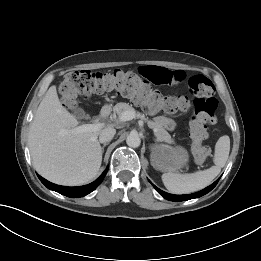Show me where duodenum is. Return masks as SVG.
Wrapping results in <instances>:
<instances>
[{
    "mask_svg": "<svg viewBox=\"0 0 261 261\" xmlns=\"http://www.w3.org/2000/svg\"><path fill=\"white\" fill-rule=\"evenodd\" d=\"M110 111H111L110 107L106 105V106L102 107V109L100 111V116L102 118H106L110 114Z\"/></svg>",
    "mask_w": 261,
    "mask_h": 261,
    "instance_id": "1",
    "label": "duodenum"
}]
</instances>
